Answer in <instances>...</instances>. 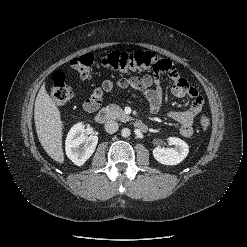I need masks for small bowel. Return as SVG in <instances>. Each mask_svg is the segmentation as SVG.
<instances>
[{
    "label": "small bowel",
    "mask_w": 247,
    "mask_h": 247,
    "mask_svg": "<svg viewBox=\"0 0 247 247\" xmlns=\"http://www.w3.org/2000/svg\"><path fill=\"white\" fill-rule=\"evenodd\" d=\"M168 74L172 78V93L178 98L189 97L192 100L191 106L186 110H164L162 88L158 78L151 75L142 77H132L128 79H120L117 82L106 80L102 89H95L91 96L87 98L83 107L86 111L93 112L99 108L102 102L103 90L110 91L115 87L132 88L140 91L148 101L149 110L152 113L164 111L170 118L180 124V133L184 137H190L193 134V122L195 117L202 111L203 98L196 88L192 87L188 81L181 77L173 67Z\"/></svg>",
    "instance_id": "c3829d8e"
}]
</instances>
